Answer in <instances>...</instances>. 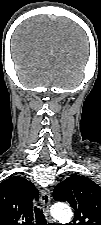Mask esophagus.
I'll return each instance as SVG.
<instances>
[{
	"mask_svg": "<svg viewBox=\"0 0 101 225\" xmlns=\"http://www.w3.org/2000/svg\"><path fill=\"white\" fill-rule=\"evenodd\" d=\"M50 203H51V193L50 190L47 188H44L41 190V204L45 213V216L49 222H52L53 219L50 216Z\"/></svg>",
	"mask_w": 101,
	"mask_h": 225,
	"instance_id": "1",
	"label": "esophagus"
}]
</instances>
